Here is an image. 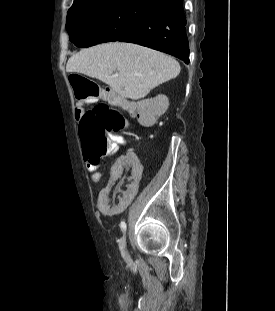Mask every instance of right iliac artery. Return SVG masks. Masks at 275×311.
Wrapping results in <instances>:
<instances>
[{
    "instance_id": "82829eb1",
    "label": "right iliac artery",
    "mask_w": 275,
    "mask_h": 311,
    "mask_svg": "<svg viewBox=\"0 0 275 311\" xmlns=\"http://www.w3.org/2000/svg\"><path fill=\"white\" fill-rule=\"evenodd\" d=\"M120 227H121V230L123 231V232H126V228H127V226H126V223L125 222H121L120 223Z\"/></svg>"
}]
</instances>
